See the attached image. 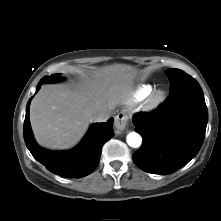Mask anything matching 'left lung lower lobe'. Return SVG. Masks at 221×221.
I'll use <instances>...</instances> for the list:
<instances>
[{
	"label": "left lung lower lobe",
	"instance_id": "0a47b994",
	"mask_svg": "<svg viewBox=\"0 0 221 221\" xmlns=\"http://www.w3.org/2000/svg\"><path fill=\"white\" fill-rule=\"evenodd\" d=\"M207 121L208 111L198 82L178 87L157 109L133 115L135 131L143 138L133 161L149 173L177 171L199 152Z\"/></svg>",
	"mask_w": 221,
	"mask_h": 221
}]
</instances>
